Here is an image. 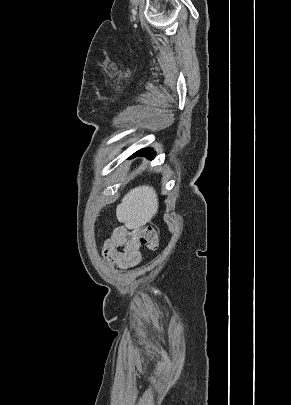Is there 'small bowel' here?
<instances>
[{"instance_id": "obj_1", "label": "small bowel", "mask_w": 291, "mask_h": 405, "mask_svg": "<svg viewBox=\"0 0 291 405\" xmlns=\"http://www.w3.org/2000/svg\"><path fill=\"white\" fill-rule=\"evenodd\" d=\"M103 257L121 269L136 266L141 262L140 242L127 225L117 227L104 242Z\"/></svg>"}]
</instances>
